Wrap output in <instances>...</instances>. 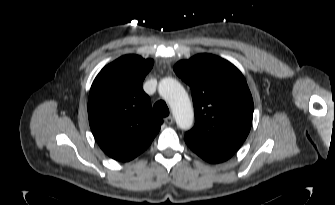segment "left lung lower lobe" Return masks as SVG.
I'll return each instance as SVG.
<instances>
[{
  "instance_id": "1",
  "label": "left lung lower lobe",
  "mask_w": 335,
  "mask_h": 205,
  "mask_svg": "<svg viewBox=\"0 0 335 205\" xmlns=\"http://www.w3.org/2000/svg\"><path fill=\"white\" fill-rule=\"evenodd\" d=\"M184 139L187 145L191 148V150H193L197 155L210 163H220L226 161L235 153V151L210 148L185 137Z\"/></svg>"
}]
</instances>
